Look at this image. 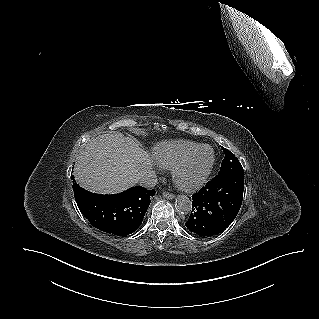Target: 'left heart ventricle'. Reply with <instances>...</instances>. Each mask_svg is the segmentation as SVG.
Listing matches in <instances>:
<instances>
[{"mask_svg":"<svg viewBox=\"0 0 319 319\" xmlns=\"http://www.w3.org/2000/svg\"><path fill=\"white\" fill-rule=\"evenodd\" d=\"M212 159V152L209 148H202L191 160L183 173V180L192 182L197 180L205 171Z\"/></svg>","mask_w":319,"mask_h":319,"instance_id":"left-heart-ventricle-1","label":"left heart ventricle"}]
</instances>
